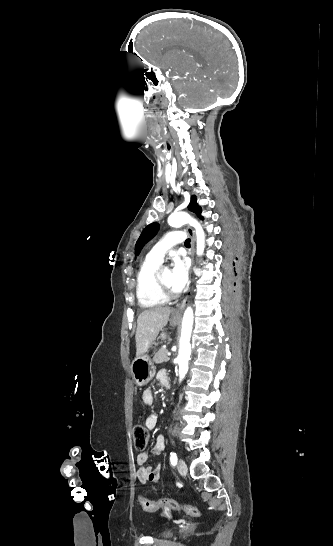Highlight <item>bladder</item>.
Wrapping results in <instances>:
<instances>
[{"label": "bladder", "mask_w": 333, "mask_h": 546, "mask_svg": "<svg viewBox=\"0 0 333 546\" xmlns=\"http://www.w3.org/2000/svg\"><path fill=\"white\" fill-rule=\"evenodd\" d=\"M159 536L164 538L170 537L172 536V532L170 530H164L159 534Z\"/></svg>", "instance_id": "31cf9c89"}]
</instances>
